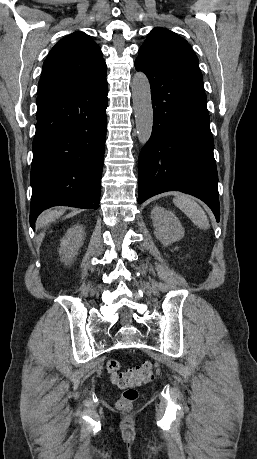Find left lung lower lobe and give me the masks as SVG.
I'll list each match as a JSON object with an SVG mask.
<instances>
[{
  "instance_id": "0a47b994",
  "label": "left lung lower lobe",
  "mask_w": 257,
  "mask_h": 459,
  "mask_svg": "<svg viewBox=\"0 0 257 459\" xmlns=\"http://www.w3.org/2000/svg\"><path fill=\"white\" fill-rule=\"evenodd\" d=\"M135 68L150 81L154 110L152 135L138 159V202L181 191L203 200L219 221L214 143L199 67L136 59Z\"/></svg>"
}]
</instances>
